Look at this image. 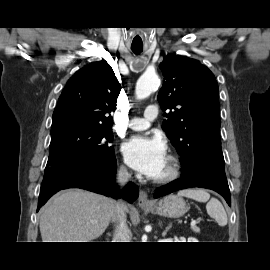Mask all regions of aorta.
<instances>
[{
	"label": "aorta",
	"mask_w": 270,
	"mask_h": 270,
	"mask_svg": "<svg viewBox=\"0 0 270 270\" xmlns=\"http://www.w3.org/2000/svg\"><path fill=\"white\" fill-rule=\"evenodd\" d=\"M160 85V79L155 73H144L137 81L136 98L141 100L148 97Z\"/></svg>",
	"instance_id": "obj_1"
}]
</instances>
